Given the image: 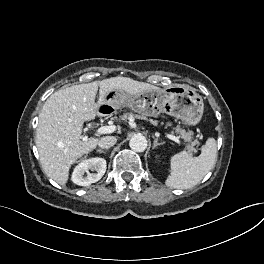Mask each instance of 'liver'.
<instances>
[{
	"instance_id": "1",
	"label": "liver",
	"mask_w": 264,
	"mask_h": 264,
	"mask_svg": "<svg viewBox=\"0 0 264 264\" xmlns=\"http://www.w3.org/2000/svg\"><path fill=\"white\" fill-rule=\"evenodd\" d=\"M111 90L137 96L145 91L161 89L127 77H113L61 89L43 105L36 131V146L44 173L58 184L64 186L71 165L97 147L98 138L83 140L82 128L85 121L96 117L98 105L105 102V95Z\"/></svg>"
}]
</instances>
